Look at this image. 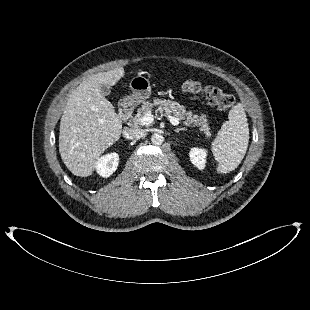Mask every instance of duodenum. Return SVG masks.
<instances>
[{
	"instance_id": "duodenum-1",
	"label": "duodenum",
	"mask_w": 310,
	"mask_h": 310,
	"mask_svg": "<svg viewBox=\"0 0 310 310\" xmlns=\"http://www.w3.org/2000/svg\"><path fill=\"white\" fill-rule=\"evenodd\" d=\"M132 109L133 108L130 99L123 100L119 106L120 119L123 121L127 120L132 114Z\"/></svg>"
}]
</instances>
